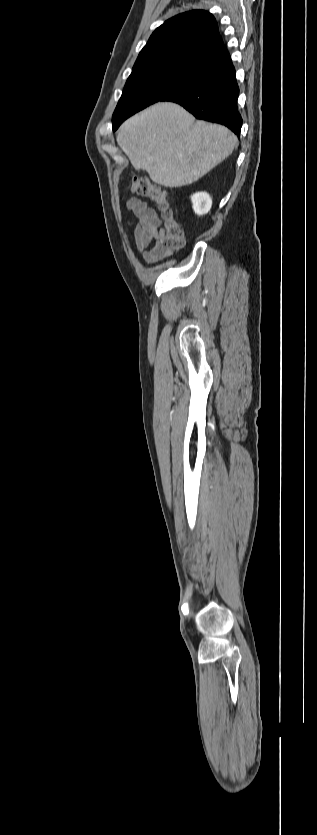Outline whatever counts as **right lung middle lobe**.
<instances>
[{
  "mask_svg": "<svg viewBox=\"0 0 317 835\" xmlns=\"http://www.w3.org/2000/svg\"><path fill=\"white\" fill-rule=\"evenodd\" d=\"M205 79L206 75L190 58L132 72L113 114V131L134 113Z\"/></svg>",
  "mask_w": 317,
  "mask_h": 835,
  "instance_id": "obj_1",
  "label": "right lung middle lobe"
}]
</instances>
